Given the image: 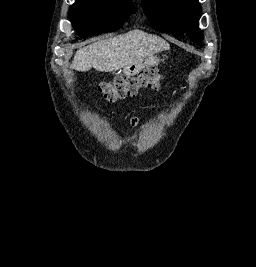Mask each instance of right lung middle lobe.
<instances>
[{
    "label": "right lung middle lobe",
    "mask_w": 256,
    "mask_h": 267,
    "mask_svg": "<svg viewBox=\"0 0 256 267\" xmlns=\"http://www.w3.org/2000/svg\"><path fill=\"white\" fill-rule=\"evenodd\" d=\"M136 9L131 1L76 0L70 6L69 18L81 37L121 28Z\"/></svg>",
    "instance_id": "1"
}]
</instances>
